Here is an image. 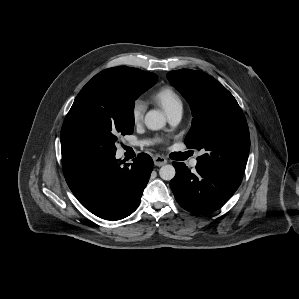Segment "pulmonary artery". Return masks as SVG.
<instances>
[{
  "mask_svg": "<svg viewBox=\"0 0 299 299\" xmlns=\"http://www.w3.org/2000/svg\"><path fill=\"white\" fill-rule=\"evenodd\" d=\"M168 120L172 125H176L181 117H182V108H178L173 110L172 112L168 113ZM142 144H145V142H143ZM197 165V159L194 158L190 161V166L191 167H195Z\"/></svg>",
  "mask_w": 299,
  "mask_h": 299,
  "instance_id": "pulmonary-artery-1",
  "label": "pulmonary artery"
}]
</instances>
